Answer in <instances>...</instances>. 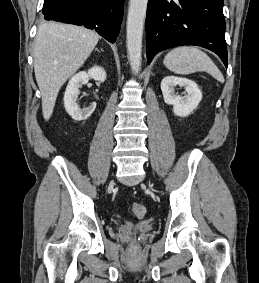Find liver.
<instances>
[{"mask_svg":"<svg viewBox=\"0 0 259 283\" xmlns=\"http://www.w3.org/2000/svg\"><path fill=\"white\" fill-rule=\"evenodd\" d=\"M99 35L87 28L44 22L35 38L34 72L42 96V113L49 120L58 92L87 60Z\"/></svg>","mask_w":259,"mask_h":283,"instance_id":"obj_1","label":"liver"}]
</instances>
